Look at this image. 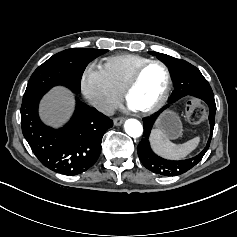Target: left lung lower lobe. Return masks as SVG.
I'll return each instance as SVG.
<instances>
[{"label":"left lung lower lobe","instance_id":"1","mask_svg":"<svg viewBox=\"0 0 237 237\" xmlns=\"http://www.w3.org/2000/svg\"><path fill=\"white\" fill-rule=\"evenodd\" d=\"M207 105L209 106V122H210V126H211V133H213V128H214V124H215V113H216V104H215V100L214 97H209V98H205L203 99ZM157 115H159V113H156Z\"/></svg>","mask_w":237,"mask_h":237}]
</instances>
